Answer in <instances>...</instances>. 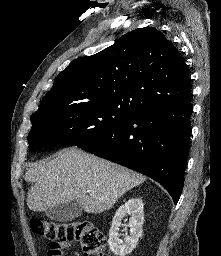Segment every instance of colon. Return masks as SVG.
<instances>
[{"instance_id": "5ec220e1", "label": "colon", "mask_w": 221, "mask_h": 256, "mask_svg": "<svg viewBox=\"0 0 221 256\" xmlns=\"http://www.w3.org/2000/svg\"><path fill=\"white\" fill-rule=\"evenodd\" d=\"M31 229L49 241V252L59 254L71 242H77L84 256H104L105 237L89 221L54 222L32 218Z\"/></svg>"}]
</instances>
